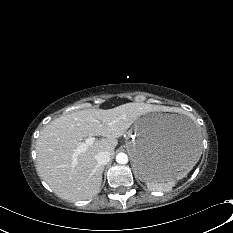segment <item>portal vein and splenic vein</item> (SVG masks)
<instances>
[{
  "label": "portal vein and splenic vein",
  "instance_id": "1",
  "mask_svg": "<svg viewBox=\"0 0 233 233\" xmlns=\"http://www.w3.org/2000/svg\"><path fill=\"white\" fill-rule=\"evenodd\" d=\"M94 142H95L94 137L86 138L85 142L79 143L73 154V157L76 158L79 154L85 152L88 149V147L91 146Z\"/></svg>",
  "mask_w": 233,
  "mask_h": 233
}]
</instances>
